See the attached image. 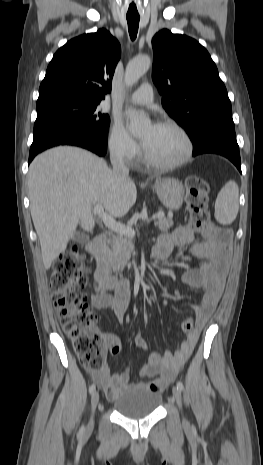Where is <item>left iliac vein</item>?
<instances>
[{
	"label": "left iliac vein",
	"mask_w": 263,
	"mask_h": 465,
	"mask_svg": "<svg viewBox=\"0 0 263 465\" xmlns=\"http://www.w3.org/2000/svg\"><path fill=\"white\" fill-rule=\"evenodd\" d=\"M173 395L175 397L178 407L181 410L182 409V396H181V390L178 386L173 387Z\"/></svg>",
	"instance_id": "left-iliac-vein-1"
}]
</instances>
